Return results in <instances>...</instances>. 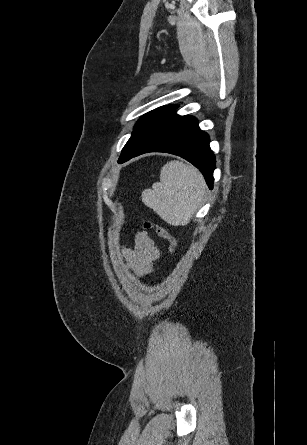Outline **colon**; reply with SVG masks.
Here are the masks:
<instances>
[{
	"label": "colon",
	"instance_id": "colon-1",
	"mask_svg": "<svg viewBox=\"0 0 307 445\" xmlns=\"http://www.w3.org/2000/svg\"><path fill=\"white\" fill-rule=\"evenodd\" d=\"M144 228L145 229H154V231L160 238H162L168 242L169 253L171 255L175 253V251L178 247V240L174 235H172L169 232V230L166 227H164L162 225L153 224L151 221H145Z\"/></svg>",
	"mask_w": 307,
	"mask_h": 445
}]
</instances>
